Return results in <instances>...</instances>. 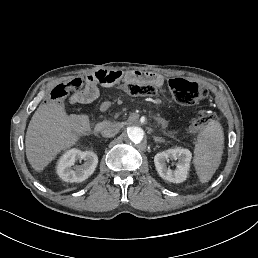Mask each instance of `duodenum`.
Returning a JSON list of instances; mask_svg holds the SVG:
<instances>
[{
	"mask_svg": "<svg viewBox=\"0 0 258 258\" xmlns=\"http://www.w3.org/2000/svg\"><path fill=\"white\" fill-rule=\"evenodd\" d=\"M126 77L127 73L119 69L98 71L88 76V84L93 87L98 85L112 87L122 82Z\"/></svg>",
	"mask_w": 258,
	"mask_h": 258,
	"instance_id": "obj_1",
	"label": "duodenum"
}]
</instances>
